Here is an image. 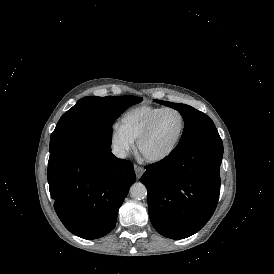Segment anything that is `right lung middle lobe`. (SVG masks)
<instances>
[{
    "label": "right lung middle lobe",
    "mask_w": 274,
    "mask_h": 274,
    "mask_svg": "<svg viewBox=\"0 0 274 274\" xmlns=\"http://www.w3.org/2000/svg\"><path fill=\"white\" fill-rule=\"evenodd\" d=\"M141 100L135 96H88L80 99L58 121L50 137V152L94 131H111L120 113Z\"/></svg>",
    "instance_id": "right-lung-middle-lobe-1"
}]
</instances>
